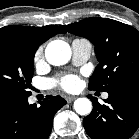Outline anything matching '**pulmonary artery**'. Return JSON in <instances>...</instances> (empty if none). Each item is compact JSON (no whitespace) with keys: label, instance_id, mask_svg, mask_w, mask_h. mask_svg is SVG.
<instances>
[{"label":"pulmonary artery","instance_id":"pulmonary-artery-1","mask_svg":"<svg viewBox=\"0 0 139 139\" xmlns=\"http://www.w3.org/2000/svg\"><path fill=\"white\" fill-rule=\"evenodd\" d=\"M71 47L75 65H81L89 59L92 49L90 41L87 39H75L72 41ZM103 98H108V93H104Z\"/></svg>","mask_w":139,"mask_h":139}]
</instances>
